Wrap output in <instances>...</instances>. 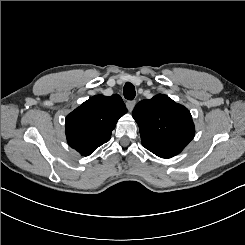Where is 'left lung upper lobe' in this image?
Returning a JSON list of instances; mask_svg holds the SVG:
<instances>
[{"instance_id": "obj_1", "label": "left lung upper lobe", "mask_w": 245, "mask_h": 245, "mask_svg": "<svg viewBox=\"0 0 245 245\" xmlns=\"http://www.w3.org/2000/svg\"><path fill=\"white\" fill-rule=\"evenodd\" d=\"M132 116L139 125L142 145L161 158L179 154L194 137L189 110L167 95L140 101Z\"/></svg>"}]
</instances>
